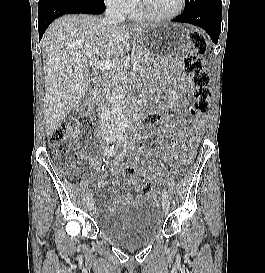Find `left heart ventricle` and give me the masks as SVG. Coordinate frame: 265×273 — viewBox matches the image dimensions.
<instances>
[{
  "instance_id": "obj_1",
  "label": "left heart ventricle",
  "mask_w": 265,
  "mask_h": 273,
  "mask_svg": "<svg viewBox=\"0 0 265 273\" xmlns=\"http://www.w3.org/2000/svg\"><path fill=\"white\" fill-rule=\"evenodd\" d=\"M147 9L157 15H167L174 12L180 0H145Z\"/></svg>"
}]
</instances>
